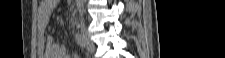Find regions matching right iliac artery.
Wrapping results in <instances>:
<instances>
[{"instance_id":"1","label":"right iliac artery","mask_w":225,"mask_h":58,"mask_svg":"<svg viewBox=\"0 0 225 58\" xmlns=\"http://www.w3.org/2000/svg\"><path fill=\"white\" fill-rule=\"evenodd\" d=\"M76 41L81 47H85L84 40L80 34H76Z\"/></svg>"}]
</instances>
